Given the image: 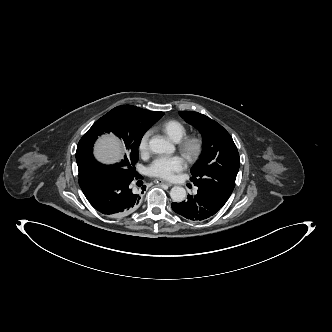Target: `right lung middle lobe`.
I'll return each mask as SVG.
<instances>
[{"mask_svg":"<svg viewBox=\"0 0 332 332\" xmlns=\"http://www.w3.org/2000/svg\"><path fill=\"white\" fill-rule=\"evenodd\" d=\"M140 115L127 106H119L96 121L78 143L76 161L79 176L86 174L95 166L111 167L122 174L132 176L135 173V164L138 161V147L144 133L163 116ZM113 132L123 142L125 155L121 162L114 165H103L95 160L92 154L93 143L103 133Z\"/></svg>","mask_w":332,"mask_h":332,"instance_id":"right-lung-middle-lobe-1","label":"right lung middle lobe"}]
</instances>
